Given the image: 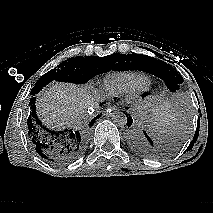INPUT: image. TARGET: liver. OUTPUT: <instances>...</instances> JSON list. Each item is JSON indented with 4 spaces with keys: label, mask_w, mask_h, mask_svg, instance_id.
<instances>
[{
    "label": "liver",
    "mask_w": 213,
    "mask_h": 213,
    "mask_svg": "<svg viewBox=\"0 0 213 213\" xmlns=\"http://www.w3.org/2000/svg\"><path fill=\"white\" fill-rule=\"evenodd\" d=\"M95 102L81 87L55 83L39 97L37 107L42 121L52 128L71 127L81 122Z\"/></svg>",
    "instance_id": "1"
}]
</instances>
